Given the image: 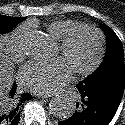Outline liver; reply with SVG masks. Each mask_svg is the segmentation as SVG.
<instances>
[{
  "label": "liver",
  "instance_id": "6515ba94",
  "mask_svg": "<svg viewBox=\"0 0 125 125\" xmlns=\"http://www.w3.org/2000/svg\"><path fill=\"white\" fill-rule=\"evenodd\" d=\"M12 85L11 67L7 56L3 53L0 42V99L5 98Z\"/></svg>",
  "mask_w": 125,
  "mask_h": 125
}]
</instances>
